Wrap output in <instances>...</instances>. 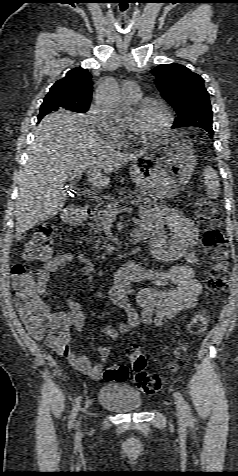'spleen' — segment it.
Instances as JSON below:
<instances>
[{"label": "spleen", "instance_id": "1", "mask_svg": "<svg viewBox=\"0 0 238 476\" xmlns=\"http://www.w3.org/2000/svg\"><path fill=\"white\" fill-rule=\"evenodd\" d=\"M203 175L208 195L210 198L216 199L219 193V181L217 173L212 167L207 166L203 171Z\"/></svg>", "mask_w": 238, "mask_h": 476}]
</instances>
